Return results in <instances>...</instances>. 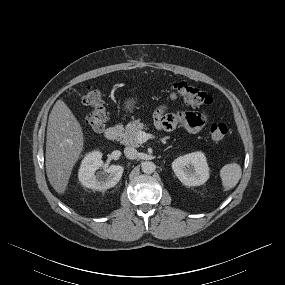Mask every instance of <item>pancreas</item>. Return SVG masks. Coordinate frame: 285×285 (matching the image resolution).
<instances>
[{
	"label": "pancreas",
	"mask_w": 285,
	"mask_h": 285,
	"mask_svg": "<svg viewBox=\"0 0 285 285\" xmlns=\"http://www.w3.org/2000/svg\"><path fill=\"white\" fill-rule=\"evenodd\" d=\"M144 128V124L140 120H135L122 128V133L120 134V142L123 145L139 147L140 143L137 141V134Z\"/></svg>",
	"instance_id": "obj_1"
}]
</instances>
